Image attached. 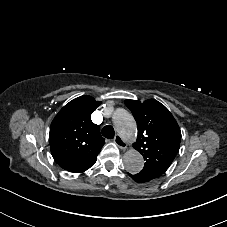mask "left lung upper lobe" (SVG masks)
Segmentation results:
<instances>
[{"label":"left lung upper lobe","mask_w":227,"mask_h":227,"mask_svg":"<svg viewBox=\"0 0 227 227\" xmlns=\"http://www.w3.org/2000/svg\"><path fill=\"white\" fill-rule=\"evenodd\" d=\"M138 128L134 148L144 157V168L137 175L150 180L161 176L171 165L180 147L181 131L169 112L160 102L150 99L143 103L125 100Z\"/></svg>","instance_id":"5c2ea615"}]
</instances>
